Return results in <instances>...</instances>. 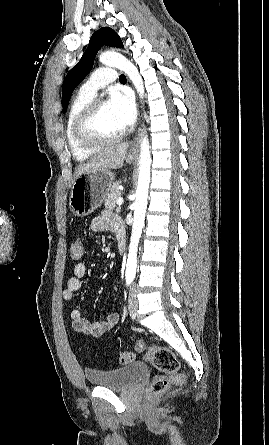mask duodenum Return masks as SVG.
<instances>
[{"mask_svg": "<svg viewBox=\"0 0 269 445\" xmlns=\"http://www.w3.org/2000/svg\"><path fill=\"white\" fill-rule=\"evenodd\" d=\"M118 251L123 254L126 250V234L125 231H120L117 234Z\"/></svg>", "mask_w": 269, "mask_h": 445, "instance_id": "410a0bca", "label": "duodenum"}]
</instances>
